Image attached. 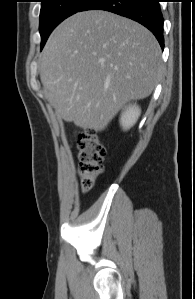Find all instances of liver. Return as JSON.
<instances>
[{"instance_id":"6515ba94","label":"liver","mask_w":195,"mask_h":299,"mask_svg":"<svg viewBox=\"0 0 195 299\" xmlns=\"http://www.w3.org/2000/svg\"><path fill=\"white\" fill-rule=\"evenodd\" d=\"M161 72L154 35L135 21L100 10L65 19L40 59V79L57 114L96 132L129 101L148 97Z\"/></svg>"}]
</instances>
